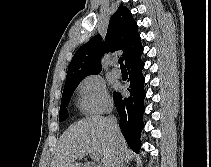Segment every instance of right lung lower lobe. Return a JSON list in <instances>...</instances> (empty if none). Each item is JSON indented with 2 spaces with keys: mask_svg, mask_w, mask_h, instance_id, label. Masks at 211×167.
Listing matches in <instances>:
<instances>
[{
  "mask_svg": "<svg viewBox=\"0 0 211 167\" xmlns=\"http://www.w3.org/2000/svg\"><path fill=\"white\" fill-rule=\"evenodd\" d=\"M144 62L141 57L127 66L129 73V97L113 93L114 103L120 116V129L129 147L138 152L141 148L140 136L144 128L143 114L145 111L144 90L145 78L142 74Z\"/></svg>",
  "mask_w": 211,
  "mask_h": 167,
  "instance_id": "1",
  "label": "right lung lower lobe"
}]
</instances>
